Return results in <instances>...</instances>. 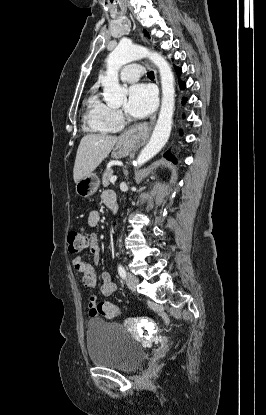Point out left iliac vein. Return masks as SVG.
Masks as SVG:
<instances>
[{
  "label": "left iliac vein",
  "mask_w": 266,
  "mask_h": 415,
  "mask_svg": "<svg viewBox=\"0 0 266 415\" xmlns=\"http://www.w3.org/2000/svg\"><path fill=\"white\" fill-rule=\"evenodd\" d=\"M126 283L130 290L135 291L139 283V279L132 273H127Z\"/></svg>",
  "instance_id": "left-iliac-vein-1"
}]
</instances>
